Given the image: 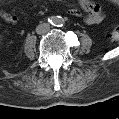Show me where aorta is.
I'll return each instance as SVG.
<instances>
[{
  "mask_svg": "<svg viewBox=\"0 0 119 119\" xmlns=\"http://www.w3.org/2000/svg\"><path fill=\"white\" fill-rule=\"evenodd\" d=\"M64 23V19L62 17L56 16L52 19V24L54 26H62Z\"/></svg>",
  "mask_w": 119,
  "mask_h": 119,
  "instance_id": "obj_1",
  "label": "aorta"
}]
</instances>
